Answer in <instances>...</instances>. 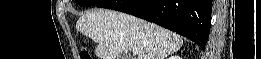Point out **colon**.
Returning <instances> with one entry per match:
<instances>
[{
	"label": "colon",
	"instance_id": "1",
	"mask_svg": "<svg viewBox=\"0 0 261 59\" xmlns=\"http://www.w3.org/2000/svg\"><path fill=\"white\" fill-rule=\"evenodd\" d=\"M80 59H91V56L87 51L84 50L80 53Z\"/></svg>",
	"mask_w": 261,
	"mask_h": 59
}]
</instances>
